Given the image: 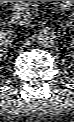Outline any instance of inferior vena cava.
I'll list each match as a JSON object with an SVG mask.
<instances>
[{"label":"inferior vena cava","mask_w":74,"mask_h":122,"mask_svg":"<svg viewBox=\"0 0 74 122\" xmlns=\"http://www.w3.org/2000/svg\"><path fill=\"white\" fill-rule=\"evenodd\" d=\"M31 22L32 16L24 8L18 9L12 14L11 23L15 25H29Z\"/></svg>","instance_id":"602c4592"}]
</instances>
